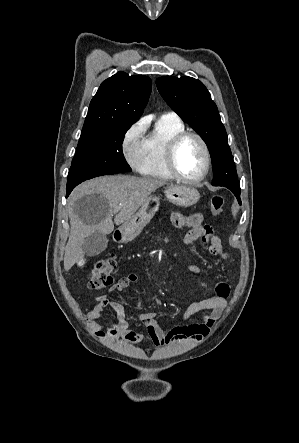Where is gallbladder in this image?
Returning <instances> with one entry per match:
<instances>
[{
  "mask_svg": "<svg viewBox=\"0 0 299 443\" xmlns=\"http://www.w3.org/2000/svg\"><path fill=\"white\" fill-rule=\"evenodd\" d=\"M108 245V238L106 235L95 232L88 236L82 245V249L86 256H96L103 252Z\"/></svg>",
  "mask_w": 299,
  "mask_h": 443,
  "instance_id": "bac80fb5",
  "label": "gallbladder"
}]
</instances>
